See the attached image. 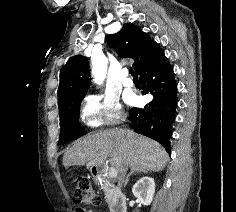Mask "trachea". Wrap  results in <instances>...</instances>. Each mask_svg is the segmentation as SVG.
Here are the masks:
<instances>
[{
  "mask_svg": "<svg viewBox=\"0 0 236 212\" xmlns=\"http://www.w3.org/2000/svg\"><path fill=\"white\" fill-rule=\"evenodd\" d=\"M129 73H130L131 76H133L134 78H137V75L135 74V71L133 70L132 67H130V69H129Z\"/></svg>",
  "mask_w": 236,
  "mask_h": 212,
  "instance_id": "3493384b",
  "label": "trachea"
}]
</instances>
